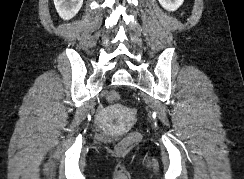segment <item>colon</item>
I'll list each match as a JSON object with an SVG mask.
<instances>
[{"mask_svg": "<svg viewBox=\"0 0 244 179\" xmlns=\"http://www.w3.org/2000/svg\"><path fill=\"white\" fill-rule=\"evenodd\" d=\"M121 93H108L107 101H116L121 98ZM123 142H117L116 152H127V147H131L132 137H123Z\"/></svg>", "mask_w": 244, "mask_h": 179, "instance_id": "5ec220e1", "label": "colon"}]
</instances>
